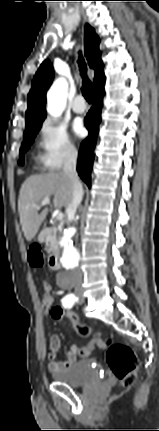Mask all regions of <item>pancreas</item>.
Instances as JSON below:
<instances>
[{
	"label": "pancreas",
	"instance_id": "cf45deb5",
	"mask_svg": "<svg viewBox=\"0 0 159 431\" xmlns=\"http://www.w3.org/2000/svg\"><path fill=\"white\" fill-rule=\"evenodd\" d=\"M57 247H58V242H57V238H56V230L54 229V234L49 241L47 251L50 253V252L56 250Z\"/></svg>",
	"mask_w": 159,
	"mask_h": 431
}]
</instances>
